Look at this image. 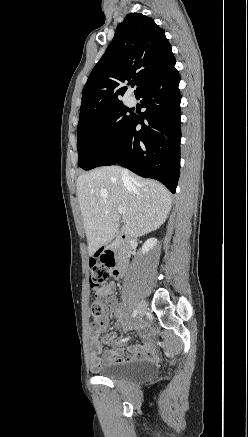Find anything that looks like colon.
Masks as SVG:
<instances>
[{
	"label": "colon",
	"instance_id": "5ec220e1",
	"mask_svg": "<svg viewBox=\"0 0 248 437\" xmlns=\"http://www.w3.org/2000/svg\"><path fill=\"white\" fill-rule=\"evenodd\" d=\"M113 266L112 260L107 255L106 257L93 258L90 261V287L92 290L97 291L107 282ZM91 313L97 319L102 317L103 305L98 298L91 302Z\"/></svg>",
	"mask_w": 248,
	"mask_h": 437
}]
</instances>
